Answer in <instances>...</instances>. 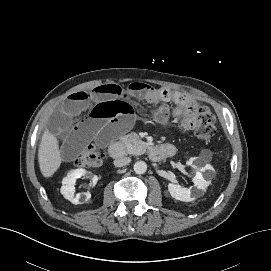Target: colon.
I'll return each instance as SVG.
<instances>
[{
  "label": "colon",
  "mask_w": 271,
  "mask_h": 271,
  "mask_svg": "<svg viewBox=\"0 0 271 271\" xmlns=\"http://www.w3.org/2000/svg\"><path fill=\"white\" fill-rule=\"evenodd\" d=\"M185 109L181 126L194 130L195 137L203 143H208L215 134L214 116L210 108L191 99L184 101ZM103 162V154L94 146L89 145L79 156L76 165L79 167H99Z\"/></svg>",
  "instance_id": "1"
}]
</instances>
